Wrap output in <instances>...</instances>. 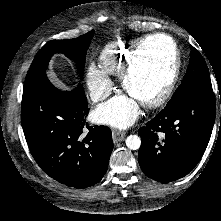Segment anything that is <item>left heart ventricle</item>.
Returning <instances> with one entry per match:
<instances>
[{
	"label": "left heart ventricle",
	"mask_w": 221,
	"mask_h": 221,
	"mask_svg": "<svg viewBox=\"0 0 221 221\" xmlns=\"http://www.w3.org/2000/svg\"><path fill=\"white\" fill-rule=\"evenodd\" d=\"M171 63L170 42L162 37L149 41L143 47L130 75L129 95L138 102L149 99L167 81Z\"/></svg>",
	"instance_id": "left-heart-ventricle-1"
}]
</instances>
